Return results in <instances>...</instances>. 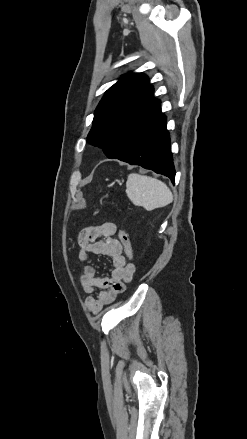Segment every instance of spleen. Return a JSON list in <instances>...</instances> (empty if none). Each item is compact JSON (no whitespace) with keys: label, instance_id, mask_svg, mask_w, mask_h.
<instances>
[{"label":"spleen","instance_id":"1","mask_svg":"<svg viewBox=\"0 0 247 439\" xmlns=\"http://www.w3.org/2000/svg\"><path fill=\"white\" fill-rule=\"evenodd\" d=\"M126 194L134 205L147 211L165 207L173 201L172 192L164 182L137 173L128 175Z\"/></svg>","mask_w":247,"mask_h":439}]
</instances>
